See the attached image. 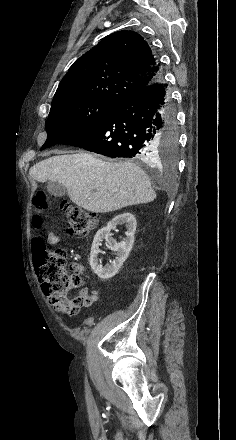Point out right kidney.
Returning <instances> with one entry per match:
<instances>
[{
    "label": "right kidney",
    "instance_id": "1",
    "mask_svg": "<svg viewBox=\"0 0 236 440\" xmlns=\"http://www.w3.org/2000/svg\"><path fill=\"white\" fill-rule=\"evenodd\" d=\"M123 224L127 229L125 233L126 237L122 242L117 243V241L111 237L112 234L110 231L117 225ZM136 225V218L132 213H122L115 216L106 227L100 229L96 233L91 247L90 266L99 278L103 280L110 279L121 268L132 249ZM103 239H106L109 248L116 252V258L110 263V265H106L105 267L100 264V259L98 258V254L100 253L99 246Z\"/></svg>",
    "mask_w": 236,
    "mask_h": 440
}]
</instances>
